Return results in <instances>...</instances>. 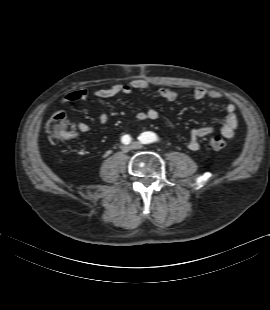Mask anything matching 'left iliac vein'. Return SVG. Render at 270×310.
Wrapping results in <instances>:
<instances>
[{
	"label": "left iliac vein",
	"instance_id": "obj_1",
	"mask_svg": "<svg viewBox=\"0 0 270 310\" xmlns=\"http://www.w3.org/2000/svg\"><path fill=\"white\" fill-rule=\"evenodd\" d=\"M130 147L132 149H141L143 147V144L141 142L134 141L131 143Z\"/></svg>",
	"mask_w": 270,
	"mask_h": 310
}]
</instances>
